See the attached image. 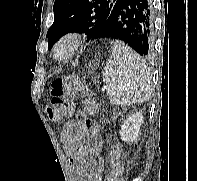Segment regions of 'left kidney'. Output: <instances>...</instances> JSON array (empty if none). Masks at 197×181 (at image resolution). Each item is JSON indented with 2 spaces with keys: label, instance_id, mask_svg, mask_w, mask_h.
<instances>
[{
  "label": "left kidney",
  "instance_id": "left-kidney-1",
  "mask_svg": "<svg viewBox=\"0 0 197 181\" xmlns=\"http://www.w3.org/2000/svg\"><path fill=\"white\" fill-rule=\"evenodd\" d=\"M143 122L141 112H135L129 116L121 125L120 136L122 141L127 143L136 142L140 135V126Z\"/></svg>",
  "mask_w": 197,
  "mask_h": 181
}]
</instances>
